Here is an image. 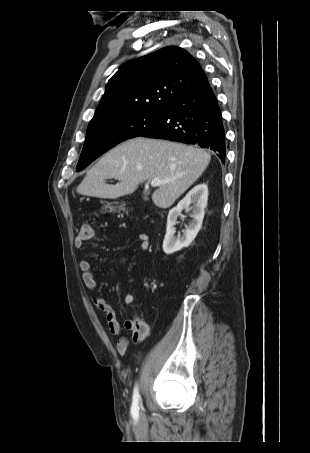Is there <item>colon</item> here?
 Returning a JSON list of instances; mask_svg holds the SVG:
<instances>
[{"label":"colon","mask_w":310,"mask_h":453,"mask_svg":"<svg viewBox=\"0 0 310 453\" xmlns=\"http://www.w3.org/2000/svg\"><path fill=\"white\" fill-rule=\"evenodd\" d=\"M94 233V229L92 227V225L90 224H84L82 226V229H81V235L84 237V238H89L90 236H92Z\"/></svg>","instance_id":"5ec220e1"}]
</instances>
